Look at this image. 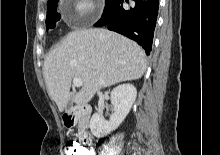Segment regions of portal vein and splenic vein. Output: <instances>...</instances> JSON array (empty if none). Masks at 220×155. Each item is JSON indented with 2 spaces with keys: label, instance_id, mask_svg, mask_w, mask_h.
Wrapping results in <instances>:
<instances>
[{
  "label": "portal vein and splenic vein",
  "instance_id": "1",
  "mask_svg": "<svg viewBox=\"0 0 220 155\" xmlns=\"http://www.w3.org/2000/svg\"><path fill=\"white\" fill-rule=\"evenodd\" d=\"M73 84H74V86H76L78 88H81L82 85H83V82H82V80L80 78L74 77L73 78Z\"/></svg>",
  "mask_w": 220,
  "mask_h": 155
}]
</instances>
